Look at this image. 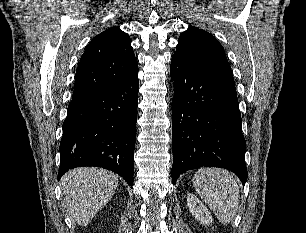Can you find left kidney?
Listing matches in <instances>:
<instances>
[{
  "label": "left kidney",
  "mask_w": 306,
  "mask_h": 233,
  "mask_svg": "<svg viewBox=\"0 0 306 233\" xmlns=\"http://www.w3.org/2000/svg\"><path fill=\"white\" fill-rule=\"evenodd\" d=\"M187 205L192 216L201 224L208 226L212 223L213 219L210 212L194 194H187Z\"/></svg>",
  "instance_id": "left-kidney-1"
}]
</instances>
